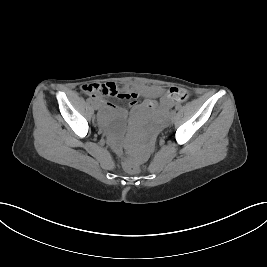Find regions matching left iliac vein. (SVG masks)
<instances>
[{"instance_id":"1","label":"left iliac vein","mask_w":267,"mask_h":267,"mask_svg":"<svg viewBox=\"0 0 267 267\" xmlns=\"http://www.w3.org/2000/svg\"><path fill=\"white\" fill-rule=\"evenodd\" d=\"M172 119H173V116H170V120H169V122L172 121Z\"/></svg>"}]
</instances>
